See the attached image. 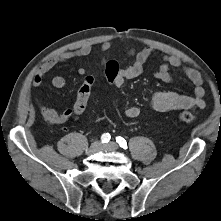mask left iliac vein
Masks as SVG:
<instances>
[{
    "mask_svg": "<svg viewBox=\"0 0 221 221\" xmlns=\"http://www.w3.org/2000/svg\"><path fill=\"white\" fill-rule=\"evenodd\" d=\"M102 149H107V150H110V151H115V150L118 149V144L115 143V142H109V143L103 144L102 145Z\"/></svg>",
    "mask_w": 221,
    "mask_h": 221,
    "instance_id": "obj_1",
    "label": "left iliac vein"
}]
</instances>
